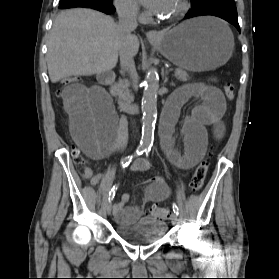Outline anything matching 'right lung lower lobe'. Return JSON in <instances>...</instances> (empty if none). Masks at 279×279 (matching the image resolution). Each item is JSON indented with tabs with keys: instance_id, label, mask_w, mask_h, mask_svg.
I'll return each instance as SVG.
<instances>
[{
	"instance_id": "98d812e1",
	"label": "right lung lower lobe",
	"mask_w": 279,
	"mask_h": 279,
	"mask_svg": "<svg viewBox=\"0 0 279 279\" xmlns=\"http://www.w3.org/2000/svg\"><path fill=\"white\" fill-rule=\"evenodd\" d=\"M73 7H86L99 10L106 14L113 13L115 11L112 3H108L104 0H60L59 8H73Z\"/></svg>"
}]
</instances>
